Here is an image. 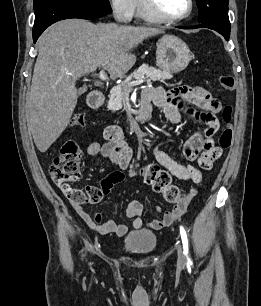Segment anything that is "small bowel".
<instances>
[{
	"label": "small bowel",
	"instance_id": "1",
	"mask_svg": "<svg viewBox=\"0 0 261 306\" xmlns=\"http://www.w3.org/2000/svg\"><path fill=\"white\" fill-rule=\"evenodd\" d=\"M143 100L149 105L153 104L159 108L166 119L173 125H177L181 121L182 114L186 113L206 126L202 132L191 136L185 142L183 149L186 158L190 161L197 160L199 167L178 163L160 146H156L153 149L155 160L174 177L184 181L200 183L202 180L201 170H210L222 154V148L216 146L213 140V136L219 128L217 114L222 110L220 101L214 98L206 89L193 85L179 86L168 92L161 87L150 88L144 92ZM184 105L190 107H185ZM104 138L106 142L103 144L99 142L91 143L87 147V154L92 157H102L117 165L121 170H126L131 161L132 151L127 145L120 128L117 126L107 127L104 132ZM118 173L122 174L121 172ZM118 182H112L109 180V176L106 177L101 183L104 195L108 194ZM62 190L68 196V191L64 188ZM69 199L81 219L96 232L100 234H115L120 237L128 232V227L125 224L117 223L114 220L103 221L100 213L90 214L84 210L82 204L70 197ZM190 201V197H183L171 210L164 211L160 219L152 220L148 226L151 229L159 230L173 224L184 215ZM156 210L161 212L158 207ZM143 211L144 206L140 201L131 200L128 203L126 216L132 219V225L135 229L143 226Z\"/></svg>",
	"mask_w": 261,
	"mask_h": 306
}]
</instances>
